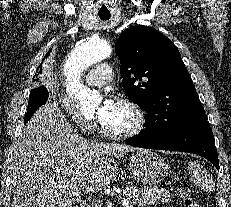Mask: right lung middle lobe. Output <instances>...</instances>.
<instances>
[{"mask_svg": "<svg viewBox=\"0 0 231 207\" xmlns=\"http://www.w3.org/2000/svg\"><path fill=\"white\" fill-rule=\"evenodd\" d=\"M43 90H45V87L41 86L39 88H36L30 92V100H33V98L37 97L38 94H40Z\"/></svg>", "mask_w": 231, "mask_h": 207, "instance_id": "dd1d6c3e", "label": "right lung middle lobe"}]
</instances>
